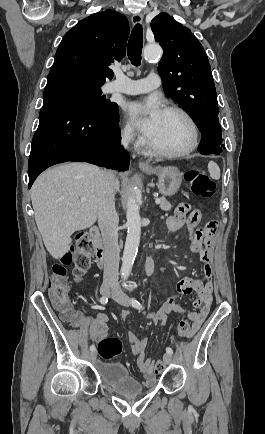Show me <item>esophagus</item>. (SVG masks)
Wrapping results in <instances>:
<instances>
[{"instance_id": "34e87169", "label": "esophagus", "mask_w": 265, "mask_h": 434, "mask_svg": "<svg viewBox=\"0 0 265 434\" xmlns=\"http://www.w3.org/2000/svg\"><path fill=\"white\" fill-rule=\"evenodd\" d=\"M143 21V14L142 13H135L132 15V23L133 25L141 24ZM139 167H148V164H145V162H139Z\"/></svg>"}]
</instances>
